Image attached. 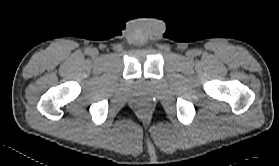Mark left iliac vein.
<instances>
[{"label": "left iliac vein", "instance_id": "obj_1", "mask_svg": "<svg viewBox=\"0 0 279 166\" xmlns=\"http://www.w3.org/2000/svg\"><path fill=\"white\" fill-rule=\"evenodd\" d=\"M186 55H187V57L191 58L193 56V52L192 51H187Z\"/></svg>", "mask_w": 279, "mask_h": 166}]
</instances>
